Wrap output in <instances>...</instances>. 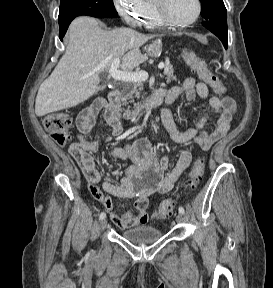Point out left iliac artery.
<instances>
[{
	"label": "left iliac artery",
	"mask_w": 273,
	"mask_h": 288,
	"mask_svg": "<svg viewBox=\"0 0 273 288\" xmlns=\"http://www.w3.org/2000/svg\"><path fill=\"white\" fill-rule=\"evenodd\" d=\"M179 213H181V214H184V212H185V210H184V208L181 206V207H179Z\"/></svg>",
	"instance_id": "obj_1"
}]
</instances>
